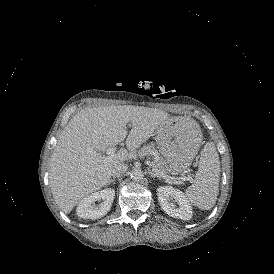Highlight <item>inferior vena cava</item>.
I'll list each match as a JSON object with an SVG mask.
<instances>
[{
	"instance_id": "1",
	"label": "inferior vena cava",
	"mask_w": 274,
	"mask_h": 274,
	"mask_svg": "<svg viewBox=\"0 0 274 274\" xmlns=\"http://www.w3.org/2000/svg\"><path fill=\"white\" fill-rule=\"evenodd\" d=\"M127 166L125 164H119L114 167L111 172L112 177L119 178L123 174H125Z\"/></svg>"
}]
</instances>
